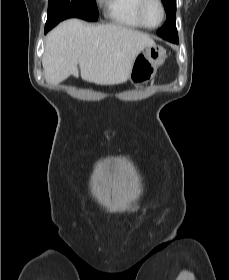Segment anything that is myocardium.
Returning a JSON list of instances; mask_svg holds the SVG:
<instances>
[{
    "label": "myocardium",
    "mask_w": 229,
    "mask_h": 280,
    "mask_svg": "<svg viewBox=\"0 0 229 280\" xmlns=\"http://www.w3.org/2000/svg\"><path fill=\"white\" fill-rule=\"evenodd\" d=\"M151 2H154L156 4H158V6L160 7V10H161V18H160V21L157 25H149L147 22H146V19H145V10L147 8V6L151 3ZM137 16H138V19L139 21L141 22V24L147 28V29H155L157 27H159L164 19H165V6L162 2V0H141L139 6H138V9H137Z\"/></svg>",
    "instance_id": "1"
}]
</instances>
